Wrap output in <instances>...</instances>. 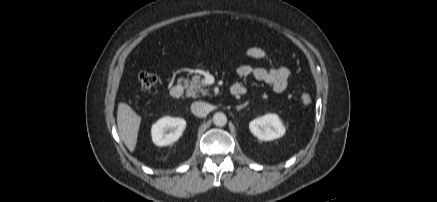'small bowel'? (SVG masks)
<instances>
[{"label": "small bowel", "mask_w": 437, "mask_h": 202, "mask_svg": "<svg viewBox=\"0 0 437 202\" xmlns=\"http://www.w3.org/2000/svg\"><path fill=\"white\" fill-rule=\"evenodd\" d=\"M246 56L251 59L271 61V57L266 50L260 47H251L246 51ZM237 74L241 78L240 82L233 85V88L239 91V95L247 91L245 81L248 78L270 85L277 92H283L288 85L291 75L289 68L284 66H272L270 68L252 67L244 64L238 67Z\"/></svg>", "instance_id": "1"}]
</instances>
